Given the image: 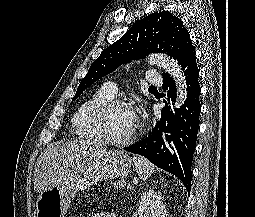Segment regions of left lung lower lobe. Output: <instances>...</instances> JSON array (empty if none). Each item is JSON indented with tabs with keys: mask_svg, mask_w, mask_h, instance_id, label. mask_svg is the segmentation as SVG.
Returning <instances> with one entry per match:
<instances>
[{
	"mask_svg": "<svg viewBox=\"0 0 255 217\" xmlns=\"http://www.w3.org/2000/svg\"><path fill=\"white\" fill-rule=\"evenodd\" d=\"M186 76L187 99L180 107L172 111L176 98V86L169 74L163 73V102L161 119L157 121L148 137L138 143L124 148L128 152L147 158L154 165L178 177L186 187L191 189V165L199 129L201 105L199 101V70L193 45L183 50L178 59Z\"/></svg>",
	"mask_w": 255,
	"mask_h": 217,
	"instance_id": "0a47b994",
	"label": "left lung lower lobe"
}]
</instances>
